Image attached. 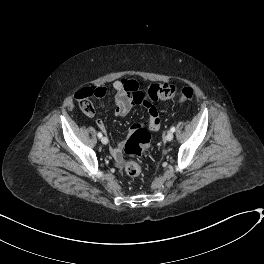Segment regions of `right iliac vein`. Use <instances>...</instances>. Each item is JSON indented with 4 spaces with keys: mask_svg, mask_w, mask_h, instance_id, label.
Here are the masks:
<instances>
[{
    "mask_svg": "<svg viewBox=\"0 0 264 264\" xmlns=\"http://www.w3.org/2000/svg\"><path fill=\"white\" fill-rule=\"evenodd\" d=\"M101 142L106 145L108 143V138L107 137H102L101 138Z\"/></svg>",
    "mask_w": 264,
    "mask_h": 264,
    "instance_id": "1",
    "label": "right iliac vein"
}]
</instances>
